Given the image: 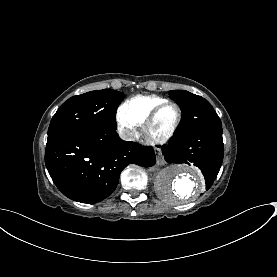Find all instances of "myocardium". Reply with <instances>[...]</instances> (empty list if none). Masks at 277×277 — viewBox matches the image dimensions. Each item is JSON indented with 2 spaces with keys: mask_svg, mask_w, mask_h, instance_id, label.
Wrapping results in <instances>:
<instances>
[{
  "mask_svg": "<svg viewBox=\"0 0 277 277\" xmlns=\"http://www.w3.org/2000/svg\"><path fill=\"white\" fill-rule=\"evenodd\" d=\"M167 106H174L176 108V111H177L176 122H175L174 126L172 127V129L166 135L161 136V137L152 136L150 134V131H151L152 127L154 126V124H155V122H156L160 112L164 108H166ZM181 122H182V111H181L180 106L176 102L165 101V102H162L159 105H157L152 110V112L150 113L149 117L143 123L142 131H143L145 137L150 142L155 143V144H161V143L167 142L168 140H170L176 134L177 130L180 127Z\"/></svg>",
  "mask_w": 277,
  "mask_h": 277,
  "instance_id": "obj_1",
  "label": "myocardium"
}]
</instances>
